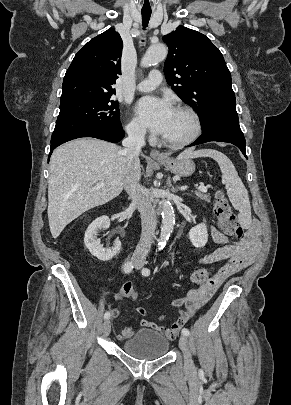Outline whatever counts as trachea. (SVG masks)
Returning <instances> with one entry per match:
<instances>
[{"instance_id": "1", "label": "trachea", "mask_w": 291, "mask_h": 405, "mask_svg": "<svg viewBox=\"0 0 291 405\" xmlns=\"http://www.w3.org/2000/svg\"><path fill=\"white\" fill-rule=\"evenodd\" d=\"M142 24L143 27H147L148 22L150 20V16H151V11H142Z\"/></svg>"}]
</instances>
